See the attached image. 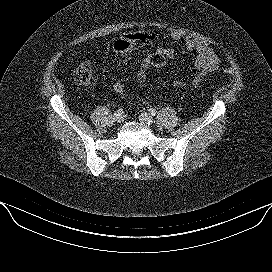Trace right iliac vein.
Returning a JSON list of instances; mask_svg holds the SVG:
<instances>
[{"mask_svg": "<svg viewBox=\"0 0 272 272\" xmlns=\"http://www.w3.org/2000/svg\"><path fill=\"white\" fill-rule=\"evenodd\" d=\"M113 119L116 123H121L123 122V116L122 114L115 113L113 116Z\"/></svg>", "mask_w": 272, "mask_h": 272, "instance_id": "right-iliac-vein-1", "label": "right iliac vein"}]
</instances>
